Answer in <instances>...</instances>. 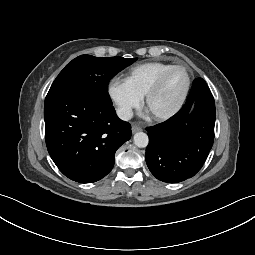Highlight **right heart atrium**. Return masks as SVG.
Returning a JSON list of instances; mask_svg holds the SVG:
<instances>
[{"label": "right heart atrium", "instance_id": "right-heart-atrium-1", "mask_svg": "<svg viewBox=\"0 0 255 255\" xmlns=\"http://www.w3.org/2000/svg\"><path fill=\"white\" fill-rule=\"evenodd\" d=\"M108 94L116 106L118 115L124 120L129 119L133 110L142 102V96L134 91L126 80L119 78H113L109 82Z\"/></svg>", "mask_w": 255, "mask_h": 255}]
</instances>
